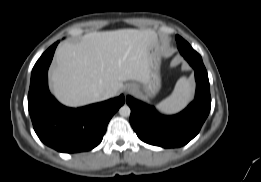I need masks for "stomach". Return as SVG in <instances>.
Segmentation results:
<instances>
[{"instance_id": "obj_1", "label": "stomach", "mask_w": 261, "mask_h": 182, "mask_svg": "<svg viewBox=\"0 0 261 182\" xmlns=\"http://www.w3.org/2000/svg\"><path fill=\"white\" fill-rule=\"evenodd\" d=\"M150 59V78L146 84L136 85V94L144 99L155 97L161 88V51L158 42L148 48Z\"/></svg>"}]
</instances>
